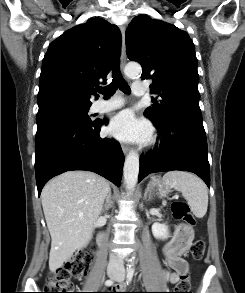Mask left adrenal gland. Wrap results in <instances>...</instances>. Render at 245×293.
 <instances>
[{
	"label": "left adrenal gland",
	"instance_id": "1",
	"mask_svg": "<svg viewBox=\"0 0 245 293\" xmlns=\"http://www.w3.org/2000/svg\"><path fill=\"white\" fill-rule=\"evenodd\" d=\"M149 192V185L147 186L146 190H145V193H144V198L146 199L147 198V193Z\"/></svg>",
	"mask_w": 245,
	"mask_h": 293
}]
</instances>
